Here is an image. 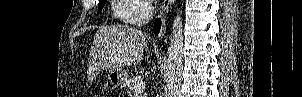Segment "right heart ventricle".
<instances>
[{
	"mask_svg": "<svg viewBox=\"0 0 302 97\" xmlns=\"http://www.w3.org/2000/svg\"><path fill=\"white\" fill-rule=\"evenodd\" d=\"M135 4L132 0H114L113 15L120 21L126 24L132 23L131 18L135 10Z\"/></svg>",
	"mask_w": 302,
	"mask_h": 97,
	"instance_id": "right-heart-ventricle-1",
	"label": "right heart ventricle"
}]
</instances>
